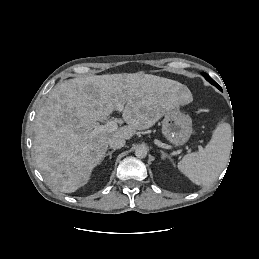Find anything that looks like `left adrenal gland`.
Wrapping results in <instances>:
<instances>
[{"instance_id": "a2214340", "label": "left adrenal gland", "mask_w": 259, "mask_h": 259, "mask_svg": "<svg viewBox=\"0 0 259 259\" xmlns=\"http://www.w3.org/2000/svg\"><path fill=\"white\" fill-rule=\"evenodd\" d=\"M160 153H161L162 159L169 158L171 160V158L164 151L160 150Z\"/></svg>"}]
</instances>
